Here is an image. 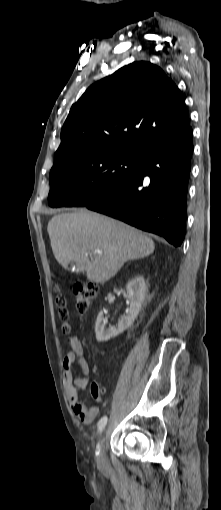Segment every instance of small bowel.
I'll return each mask as SVG.
<instances>
[{
	"mask_svg": "<svg viewBox=\"0 0 221 510\" xmlns=\"http://www.w3.org/2000/svg\"><path fill=\"white\" fill-rule=\"evenodd\" d=\"M68 344L71 350L63 359L64 388L74 414L84 423L91 424L98 415L97 408H89L79 399L78 391L85 389L90 381V366L84 357V346L77 336L70 337ZM77 364L82 376L75 377L73 365ZM101 392V390H100Z\"/></svg>",
	"mask_w": 221,
	"mask_h": 510,
	"instance_id": "1",
	"label": "small bowel"
}]
</instances>
